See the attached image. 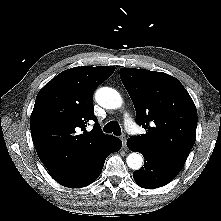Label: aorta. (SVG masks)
<instances>
[{
	"label": "aorta",
	"instance_id": "762f6f07",
	"mask_svg": "<svg viewBox=\"0 0 221 221\" xmlns=\"http://www.w3.org/2000/svg\"><path fill=\"white\" fill-rule=\"evenodd\" d=\"M97 103L106 109H118L122 106L121 95L113 88L102 87L95 94ZM129 168L139 170L143 165V157L141 154L133 152L126 158Z\"/></svg>",
	"mask_w": 221,
	"mask_h": 221
}]
</instances>
